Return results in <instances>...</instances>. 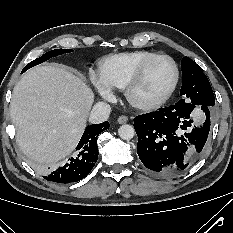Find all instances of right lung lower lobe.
Returning a JSON list of instances; mask_svg holds the SVG:
<instances>
[{
	"label": "right lung lower lobe",
	"mask_w": 233,
	"mask_h": 233,
	"mask_svg": "<svg viewBox=\"0 0 233 233\" xmlns=\"http://www.w3.org/2000/svg\"><path fill=\"white\" fill-rule=\"evenodd\" d=\"M109 128V122L88 126L68 162L44 178L57 183L77 182L86 177L98 158L97 138Z\"/></svg>",
	"instance_id": "98d812e1"
}]
</instances>
